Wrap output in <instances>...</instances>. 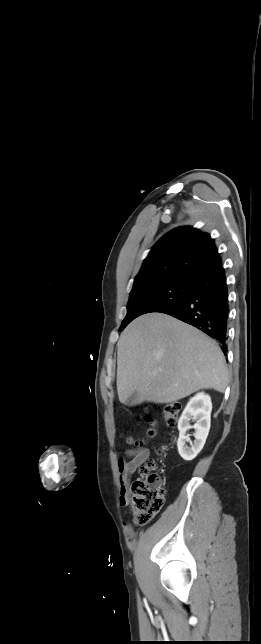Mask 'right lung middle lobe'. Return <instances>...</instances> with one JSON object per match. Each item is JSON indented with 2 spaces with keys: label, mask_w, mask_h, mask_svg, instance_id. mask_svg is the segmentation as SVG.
<instances>
[{
  "label": "right lung middle lobe",
  "mask_w": 261,
  "mask_h": 644,
  "mask_svg": "<svg viewBox=\"0 0 261 644\" xmlns=\"http://www.w3.org/2000/svg\"><path fill=\"white\" fill-rule=\"evenodd\" d=\"M193 284L192 280L184 278H167L133 287L120 331L140 315L160 312L178 304L187 296Z\"/></svg>",
  "instance_id": "dd1d6c3e"
}]
</instances>
